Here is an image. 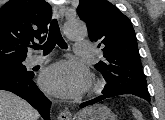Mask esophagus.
<instances>
[{
  "mask_svg": "<svg viewBox=\"0 0 165 120\" xmlns=\"http://www.w3.org/2000/svg\"><path fill=\"white\" fill-rule=\"evenodd\" d=\"M54 15L56 18L62 20L64 15V7L62 5L54 6ZM59 120H73L72 114L69 111H63L58 116Z\"/></svg>",
  "mask_w": 165,
  "mask_h": 120,
  "instance_id": "obj_1",
  "label": "esophagus"
}]
</instances>
